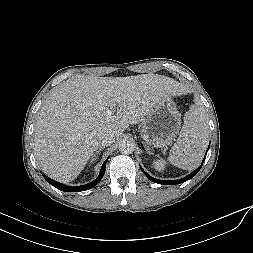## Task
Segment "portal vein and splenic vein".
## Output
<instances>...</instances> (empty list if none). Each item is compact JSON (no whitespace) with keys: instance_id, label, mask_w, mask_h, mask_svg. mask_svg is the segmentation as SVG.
Listing matches in <instances>:
<instances>
[{"instance_id":"18ae733b","label":"portal vein and splenic vein","mask_w":253,"mask_h":253,"mask_svg":"<svg viewBox=\"0 0 253 253\" xmlns=\"http://www.w3.org/2000/svg\"><path fill=\"white\" fill-rule=\"evenodd\" d=\"M118 101L121 102L122 101V98H118ZM113 114V110H108L107 111V115L108 116H111Z\"/></svg>"}]
</instances>
